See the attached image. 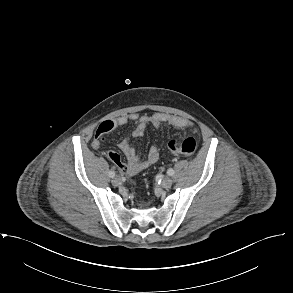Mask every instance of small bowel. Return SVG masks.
<instances>
[{"mask_svg":"<svg viewBox=\"0 0 293 293\" xmlns=\"http://www.w3.org/2000/svg\"><path fill=\"white\" fill-rule=\"evenodd\" d=\"M129 122L137 123L132 131V136L134 138L142 137L148 126L159 128L164 124L188 132H196V128L191 121L179 116L166 113L139 116L136 113H132L102 121L95 130L91 143L92 148L98 150L104 142L107 134L119 127L127 125ZM119 149L126 156L127 163H124L120 156L115 152H107L106 156L122 173L129 176L136 175L153 165L159 159V149L156 145H152L149 148L148 154L144 159L137 155L135 149L131 146L129 139L122 140L119 143Z\"/></svg>","mask_w":293,"mask_h":293,"instance_id":"obj_1","label":"small bowel"}]
</instances>
